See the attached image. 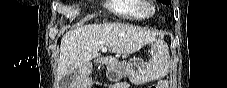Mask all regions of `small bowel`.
Here are the masks:
<instances>
[{"label": "small bowel", "instance_id": "obj_1", "mask_svg": "<svg viewBox=\"0 0 227 88\" xmlns=\"http://www.w3.org/2000/svg\"><path fill=\"white\" fill-rule=\"evenodd\" d=\"M163 84H164V85H167L168 83H167V81H164ZM96 87H97V88H108V87L127 88L128 86H127L126 83L121 82V83L115 84L114 86L102 85V86H96Z\"/></svg>", "mask_w": 227, "mask_h": 88}]
</instances>
